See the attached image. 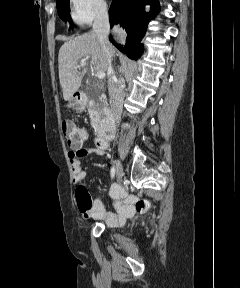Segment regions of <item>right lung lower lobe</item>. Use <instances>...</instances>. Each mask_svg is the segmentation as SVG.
Here are the masks:
<instances>
[{"instance_id": "1", "label": "right lung lower lobe", "mask_w": 240, "mask_h": 288, "mask_svg": "<svg viewBox=\"0 0 240 288\" xmlns=\"http://www.w3.org/2000/svg\"><path fill=\"white\" fill-rule=\"evenodd\" d=\"M151 5V11L145 12L144 6ZM158 0H113L110 10V25L120 23L125 28L128 38L125 45H117L111 38L110 41L128 57L137 59L143 52L140 43L143 38L149 19L159 12Z\"/></svg>"}]
</instances>
